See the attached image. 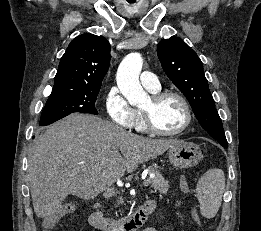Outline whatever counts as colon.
Here are the masks:
<instances>
[{
  "label": "colon",
  "instance_id": "colon-1",
  "mask_svg": "<svg viewBox=\"0 0 261 231\" xmlns=\"http://www.w3.org/2000/svg\"><path fill=\"white\" fill-rule=\"evenodd\" d=\"M181 189L188 187L187 183L180 182ZM77 211V205L73 203L66 204L62 206L61 208L54 209L48 213L44 220V228L46 231L52 230L55 223L58 221V219L66 214L74 213ZM195 222L200 225V221L198 219V216L194 214Z\"/></svg>",
  "mask_w": 261,
  "mask_h": 231
}]
</instances>
